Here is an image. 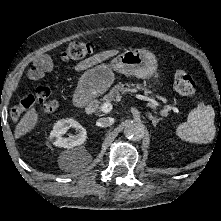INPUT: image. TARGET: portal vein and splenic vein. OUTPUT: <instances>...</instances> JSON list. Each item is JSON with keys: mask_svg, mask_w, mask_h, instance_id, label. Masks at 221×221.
<instances>
[{"mask_svg": "<svg viewBox=\"0 0 221 221\" xmlns=\"http://www.w3.org/2000/svg\"><path fill=\"white\" fill-rule=\"evenodd\" d=\"M136 98L140 99V100H144V101H148L150 106L153 107L154 105H157V102L152 99V98H149L147 96H144V95H136ZM112 110V104L111 103H105L101 106V111L103 113H109L110 111ZM169 110H172L174 111L175 113H179V110L178 108L174 107V106H167V109L166 111H169Z\"/></svg>", "mask_w": 221, "mask_h": 221, "instance_id": "portal-vein-and-splenic-vein-1", "label": "portal vein and splenic vein"}]
</instances>
